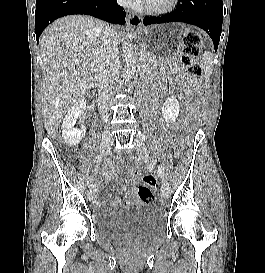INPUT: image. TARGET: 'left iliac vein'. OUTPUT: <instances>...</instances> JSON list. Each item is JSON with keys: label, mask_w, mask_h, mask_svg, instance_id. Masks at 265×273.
<instances>
[{"label": "left iliac vein", "mask_w": 265, "mask_h": 273, "mask_svg": "<svg viewBox=\"0 0 265 273\" xmlns=\"http://www.w3.org/2000/svg\"><path fill=\"white\" fill-rule=\"evenodd\" d=\"M135 149L138 156L145 162H149V153L147 147L144 144V141L140 140L138 137L134 140ZM161 192L164 198L169 197V183L165 178H161Z\"/></svg>", "instance_id": "4c4485c4"}]
</instances>
